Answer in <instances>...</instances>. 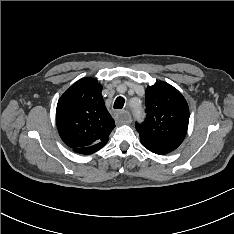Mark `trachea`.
I'll use <instances>...</instances> for the list:
<instances>
[{
	"label": "trachea",
	"mask_w": 234,
	"mask_h": 234,
	"mask_svg": "<svg viewBox=\"0 0 234 234\" xmlns=\"http://www.w3.org/2000/svg\"><path fill=\"white\" fill-rule=\"evenodd\" d=\"M124 98L123 97H118L115 102H114V109H122L124 106Z\"/></svg>",
	"instance_id": "1"
}]
</instances>
